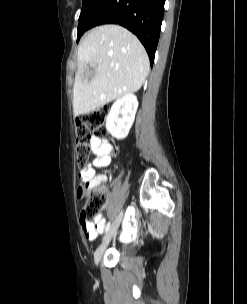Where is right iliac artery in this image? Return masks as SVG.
I'll return each instance as SVG.
<instances>
[{"label": "right iliac artery", "instance_id": "82829eb1", "mask_svg": "<svg viewBox=\"0 0 247 304\" xmlns=\"http://www.w3.org/2000/svg\"><path fill=\"white\" fill-rule=\"evenodd\" d=\"M111 226V222H108L105 228V232H107L110 229Z\"/></svg>", "mask_w": 247, "mask_h": 304}]
</instances>
